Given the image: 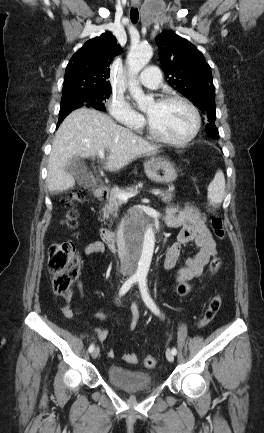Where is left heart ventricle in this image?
I'll return each mask as SVG.
<instances>
[{"label":"left heart ventricle","instance_id":"obj_1","mask_svg":"<svg viewBox=\"0 0 264 433\" xmlns=\"http://www.w3.org/2000/svg\"><path fill=\"white\" fill-rule=\"evenodd\" d=\"M153 127L162 135L179 140L192 130L194 118L191 111L180 103H152L145 109Z\"/></svg>","mask_w":264,"mask_h":433}]
</instances>
